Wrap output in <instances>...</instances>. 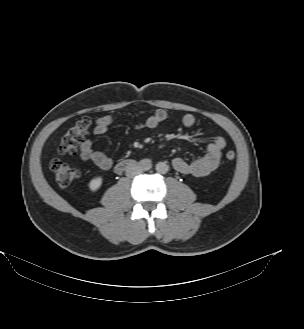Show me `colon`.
<instances>
[{"instance_id":"1","label":"colon","mask_w":304,"mask_h":329,"mask_svg":"<svg viewBox=\"0 0 304 329\" xmlns=\"http://www.w3.org/2000/svg\"><path fill=\"white\" fill-rule=\"evenodd\" d=\"M91 125L92 121L87 117L77 121L62 135L58 146V152L60 154L74 153L77 149V145L82 141L84 136L90 130ZM235 158L236 154L233 150H227L225 152V159L228 162H233ZM50 168L56 182L62 187L70 185L80 176V171L78 168L69 166L59 159L53 160L51 162Z\"/></svg>"}]
</instances>
